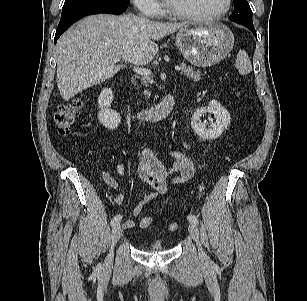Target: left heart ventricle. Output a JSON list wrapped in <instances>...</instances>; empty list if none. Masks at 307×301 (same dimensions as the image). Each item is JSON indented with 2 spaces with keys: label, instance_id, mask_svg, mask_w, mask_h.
I'll list each match as a JSON object with an SVG mask.
<instances>
[{
  "label": "left heart ventricle",
  "instance_id": "b2bd125f",
  "mask_svg": "<svg viewBox=\"0 0 307 301\" xmlns=\"http://www.w3.org/2000/svg\"><path fill=\"white\" fill-rule=\"evenodd\" d=\"M172 7L191 14H212L221 11L226 0H167Z\"/></svg>",
  "mask_w": 307,
  "mask_h": 301
}]
</instances>
